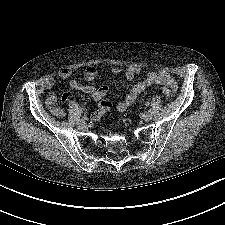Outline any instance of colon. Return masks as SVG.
Here are the masks:
<instances>
[{"label": "colon", "mask_w": 225, "mask_h": 225, "mask_svg": "<svg viewBox=\"0 0 225 225\" xmlns=\"http://www.w3.org/2000/svg\"><path fill=\"white\" fill-rule=\"evenodd\" d=\"M162 93L166 98H169L171 96V90L168 87L162 88Z\"/></svg>", "instance_id": "1"}]
</instances>
